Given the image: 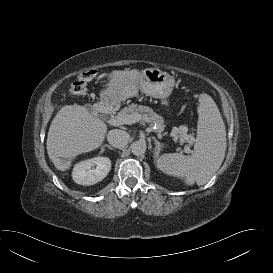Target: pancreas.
I'll list each match as a JSON object with an SVG mask.
<instances>
[{
	"instance_id": "1",
	"label": "pancreas",
	"mask_w": 273,
	"mask_h": 273,
	"mask_svg": "<svg viewBox=\"0 0 273 273\" xmlns=\"http://www.w3.org/2000/svg\"><path fill=\"white\" fill-rule=\"evenodd\" d=\"M133 114H140L141 116H143V120L151 123V125H154V123H156L157 132L163 131L165 126L164 119L160 115L156 114L148 106L131 104L128 107H124L122 110H120L117 116L120 118H124L128 115H133ZM187 132H188V128L187 126H184V125L180 126L177 130L179 138L192 144L194 141V138L191 134H188Z\"/></svg>"
}]
</instances>
